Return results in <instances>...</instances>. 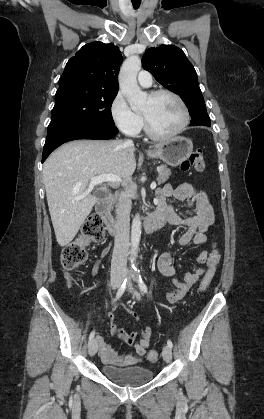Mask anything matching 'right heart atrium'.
I'll list each match as a JSON object with an SVG mask.
<instances>
[{"mask_svg": "<svg viewBox=\"0 0 264 419\" xmlns=\"http://www.w3.org/2000/svg\"><path fill=\"white\" fill-rule=\"evenodd\" d=\"M110 113L116 127L126 135L136 136L142 130V116L130 108L121 92L113 98Z\"/></svg>", "mask_w": 264, "mask_h": 419, "instance_id": "1", "label": "right heart atrium"}]
</instances>
